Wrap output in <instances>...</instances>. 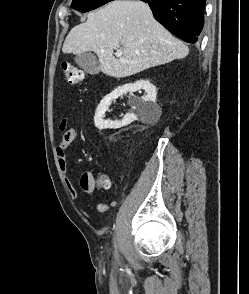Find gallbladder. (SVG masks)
Masks as SVG:
<instances>
[{"instance_id": "gallbladder-1", "label": "gallbladder", "mask_w": 249, "mask_h": 294, "mask_svg": "<svg viewBox=\"0 0 249 294\" xmlns=\"http://www.w3.org/2000/svg\"><path fill=\"white\" fill-rule=\"evenodd\" d=\"M75 63L86 73L96 75L100 72V64L92 53L78 54L74 58Z\"/></svg>"}]
</instances>
